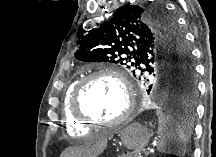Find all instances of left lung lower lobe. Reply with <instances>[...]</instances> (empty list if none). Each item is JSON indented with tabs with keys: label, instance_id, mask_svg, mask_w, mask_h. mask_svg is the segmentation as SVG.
<instances>
[{
	"label": "left lung lower lobe",
	"instance_id": "1",
	"mask_svg": "<svg viewBox=\"0 0 216 157\" xmlns=\"http://www.w3.org/2000/svg\"><path fill=\"white\" fill-rule=\"evenodd\" d=\"M190 92H191V88L187 87L186 90H185V93L189 94ZM196 92H197V89L195 87L194 92L192 94H189V96L192 95V97L193 96L196 97ZM170 96L174 97L177 101L182 103V106L184 105V108H186V110H184V112H183V115H180L179 122L181 123L184 131L188 132L189 129H190V123H191V118H192L191 114L189 113L190 107L188 105H186L185 102L183 101L185 97H179L177 94L176 95L172 94Z\"/></svg>",
	"mask_w": 216,
	"mask_h": 157
}]
</instances>
